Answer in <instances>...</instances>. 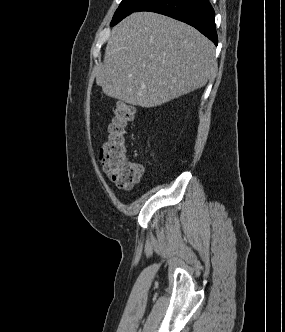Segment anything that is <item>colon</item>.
<instances>
[{"label": "colon", "mask_w": 285, "mask_h": 332, "mask_svg": "<svg viewBox=\"0 0 285 332\" xmlns=\"http://www.w3.org/2000/svg\"><path fill=\"white\" fill-rule=\"evenodd\" d=\"M135 108L125 102H117L108 125L99 159L109 178L122 189H131L140 183L144 168L140 163L129 159L127 155L126 130L134 120Z\"/></svg>", "instance_id": "5ec220e1"}]
</instances>
